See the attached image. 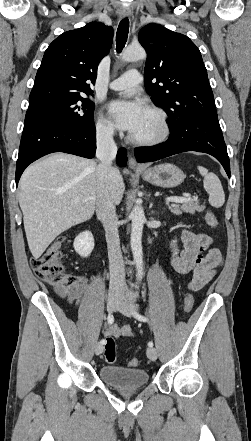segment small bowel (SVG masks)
Instances as JSON below:
<instances>
[{
    "instance_id": "obj_1",
    "label": "small bowel",
    "mask_w": 251,
    "mask_h": 441,
    "mask_svg": "<svg viewBox=\"0 0 251 441\" xmlns=\"http://www.w3.org/2000/svg\"><path fill=\"white\" fill-rule=\"evenodd\" d=\"M182 249L178 247V239L170 242V265L173 273L179 277L191 273L188 283L192 291L200 290L212 280L217 268L222 263V253L213 247V236L209 233H198L185 229L181 233ZM87 280L80 278L77 285L67 291L57 292L69 303L77 304L87 289ZM108 337H128L133 335L129 325H114L106 330Z\"/></svg>"
}]
</instances>
